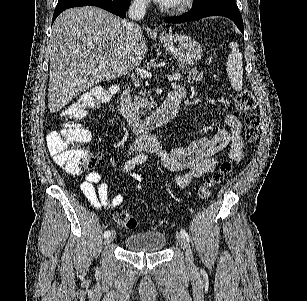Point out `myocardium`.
Here are the masks:
<instances>
[{
	"label": "myocardium",
	"instance_id": "1",
	"mask_svg": "<svg viewBox=\"0 0 307 301\" xmlns=\"http://www.w3.org/2000/svg\"><path fill=\"white\" fill-rule=\"evenodd\" d=\"M174 3L171 4H165L164 7L167 9V11H162L165 12V17H169V11H180L185 8H187L190 3L192 2L191 0H175L173 1Z\"/></svg>",
	"mask_w": 307,
	"mask_h": 301
}]
</instances>
